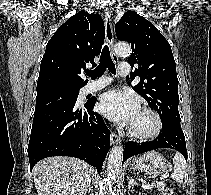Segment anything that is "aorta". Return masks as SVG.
I'll return each instance as SVG.
<instances>
[{"mask_svg": "<svg viewBox=\"0 0 211 195\" xmlns=\"http://www.w3.org/2000/svg\"><path fill=\"white\" fill-rule=\"evenodd\" d=\"M114 50L119 56H129L131 54V47L127 43H117ZM123 158V147L120 145L114 146L108 156L107 170L109 177L114 180L119 177L121 172Z\"/></svg>", "mask_w": 211, "mask_h": 195, "instance_id": "762f6f07", "label": "aorta"}]
</instances>
